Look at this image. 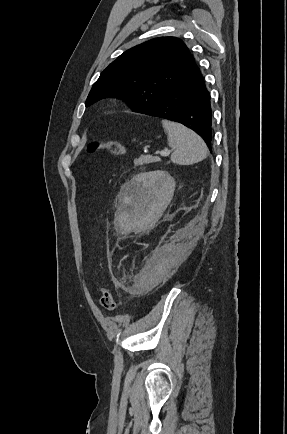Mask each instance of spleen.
<instances>
[{
    "label": "spleen",
    "mask_w": 287,
    "mask_h": 434,
    "mask_svg": "<svg viewBox=\"0 0 287 434\" xmlns=\"http://www.w3.org/2000/svg\"><path fill=\"white\" fill-rule=\"evenodd\" d=\"M168 136V145L172 148L171 161L178 165H191L205 159L208 148L203 139L185 126L162 120Z\"/></svg>",
    "instance_id": "obj_1"
}]
</instances>
